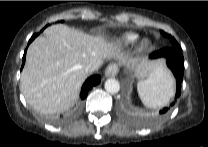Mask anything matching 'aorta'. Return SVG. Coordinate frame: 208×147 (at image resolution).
I'll return each mask as SVG.
<instances>
[{
	"label": "aorta",
	"instance_id": "aorta-1",
	"mask_svg": "<svg viewBox=\"0 0 208 147\" xmlns=\"http://www.w3.org/2000/svg\"><path fill=\"white\" fill-rule=\"evenodd\" d=\"M105 90L112 94L117 93L120 90V84L114 78L107 79L105 81Z\"/></svg>",
	"mask_w": 208,
	"mask_h": 147
}]
</instances>
